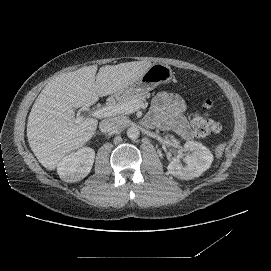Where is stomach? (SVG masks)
Segmentation results:
<instances>
[{
  "label": "stomach",
  "instance_id": "1",
  "mask_svg": "<svg viewBox=\"0 0 271 271\" xmlns=\"http://www.w3.org/2000/svg\"><path fill=\"white\" fill-rule=\"evenodd\" d=\"M173 77L172 69L168 65L153 64L135 82L129 84L124 91L115 95L117 98H121L125 94L147 93L160 84L169 83Z\"/></svg>",
  "mask_w": 271,
  "mask_h": 271
}]
</instances>
